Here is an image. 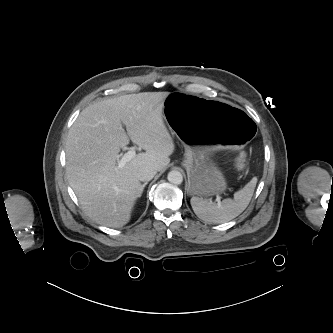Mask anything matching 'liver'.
Returning <instances> with one entry per match:
<instances>
[{
  "label": "liver",
  "mask_w": 333,
  "mask_h": 333,
  "mask_svg": "<svg viewBox=\"0 0 333 333\" xmlns=\"http://www.w3.org/2000/svg\"><path fill=\"white\" fill-rule=\"evenodd\" d=\"M168 95L142 92L97 101L70 128L67 177L83 210L97 223L113 228L127 224L143 191L138 169L160 171L169 164L175 145L162 114ZM130 140L146 152L118 167L120 149Z\"/></svg>",
  "instance_id": "obj_1"
}]
</instances>
